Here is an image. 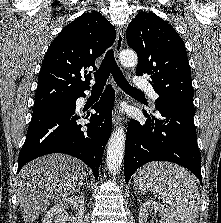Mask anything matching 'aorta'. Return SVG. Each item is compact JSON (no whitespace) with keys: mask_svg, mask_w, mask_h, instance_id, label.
I'll list each match as a JSON object with an SVG mask.
<instances>
[{"mask_svg":"<svg viewBox=\"0 0 221 223\" xmlns=\"http://www.w3.org/2000/svg\"><path fill=\"white\" fill-rule=\"evenodd\" d=\"M121 64L125 67H134L138 63L137 54L132 50H124L119 55ZM126 134L123 126H119L111 134L107 145L106 164L109 173L117 175L124 157Z\"/></svg>","mask_w":221,"mask_h":223,"instance_id":"762f6f07","label":"aorta"}]
</instances>
